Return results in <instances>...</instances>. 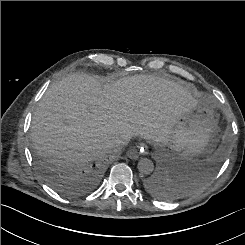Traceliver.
<instances>
[{
    "label": "liver",
    "mask_w": 245,
    "mask_h": 245,
    "mask_svg": "<svg viewBox=\"0 0 245 245\" xmlns=\"http://www.w3.org/2000/svg\"><path fill=\"white\" fill-rule=\"evenodd\" d=\"M199 94L151 75L101 85L75 73L52 84L33 116L31 139L40 156L61 166H80L110 153L108 145L138 136L168 143V135Z\"/></svg>",
    "instance_id": "1"
}]
</instances>
